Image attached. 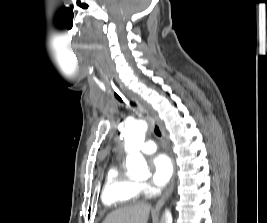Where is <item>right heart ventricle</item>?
Wrapping results in <instances>:
<instances>
[{
    "instance_id": "obj_1",
    "label": "right heart ventricle",
    "mask_w": 267,
    "mask_h": 223,
    "mask_svg": "<svg viewBox=\"0 0 267 223\" xmlns=\"http://www.w3.org/2000/svg\"><path fill=\"white\" fill-rule=\"evenodd\" d=\"M139 191V185L125 175L119 165H113L106 173L101 200L109 207H116L135 200Z\"/></svg>"
}]
</instances>
